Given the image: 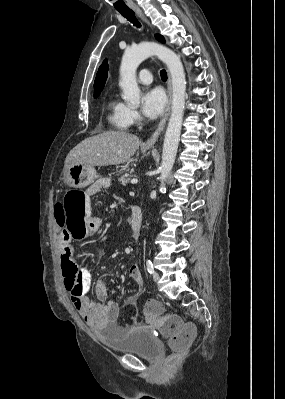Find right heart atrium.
<instances>
[{"label": "right heart atrium", "instance_id": "right-heart-atrium-1", "mask_svg": "<svg viewBox=\"0 0 285 399\" xmlns=\"http://www.w3.org/2000/svg\"><path fill=\"white\" fill-rule=\"evenodd\" d=\"M139 120V113L136 109L134 108H129L128 112V122L129 124H134Z\"/></svg>", "mask_w": 285, "mask_h": 399}]
</instances>
